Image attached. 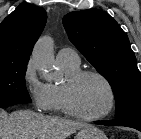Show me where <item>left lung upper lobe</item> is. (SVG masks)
<instances>
[{
  "label": "left lung upper lobe",
  "instance_id": "1",
  "mask_svg": "<svg viewBox=\"0 0 141 139\" xmlns=\"http://www.w3.org/2000/svg\"><path fill=\"white\" fill-rule=\"evenodd\" d=\"M63 24L70 41L112 87L116 119L141 115V74L126 33L98 9L68 13Z\"/></svg>",
  "mask_w": 141,
  "mask_h": 139
}]
</instances>
